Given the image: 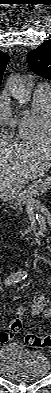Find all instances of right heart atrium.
Wrapping results in <instances>:
<instances>
[{
	"label": "right heart atrium",
	"instance_id": "obj_1",
	"mask_svg": "<svg viewBox=\"0 0 51 393\" xmlns=\"http://www.w3.org/2000/svg\"><path fill=\"white\" fill-rule=\"evenodd\" d=\"M12 121V112L7 103L0 107V122L2 125H8Z\"/></svg>",
	"mask_w": 51,
	"mask_h": 393
}]
</instances>
